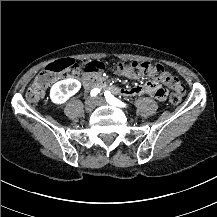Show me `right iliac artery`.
I'll list each match as a JSON object with an SVG mask.
<instances>
[{"label": "right iliac artery", "mask_w": 217, "mask_h": 217, "mask_svg": "<svg viewBox=\"0 0 217 217\" xmlns=\"http://www.w3.org/2000/svg\"><path fill=\"white\" fill-rule=\"evenodd\" d=\"M99 92L100 90L98 88H94L91 90L90 94L92 97H95Z\"/></svg>", "instance_id": "1"}]
</instances>
